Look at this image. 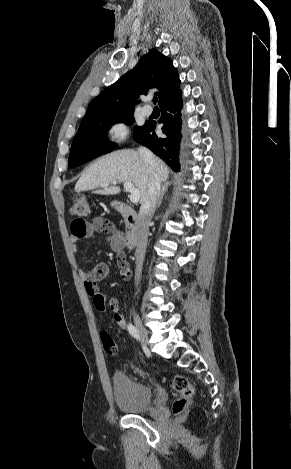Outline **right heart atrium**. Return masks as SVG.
<instances>
[{
    "instance_id": "1",
    "label": "right heart atrium",
    "mask_w": 291,
    "mask_h": 469,
    "mask_svg": "<svg viewBox=\"0 0 291 469\" xmlns=\"http://www.w3.org/2000/svg\"><path fill=\"white\" fill-rule=\"evenodd\" d=\"M128 126L123 121L111 123L106 130V137L110 144H119L126 139Z\"/></svg>"
}]
</instances>
